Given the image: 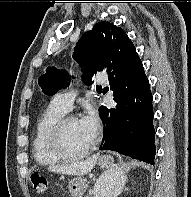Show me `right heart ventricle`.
Returning <instances> with one entry per match:
<instances>
[{"label":"right heart ventricle","instance_id":"1","mask_svg":"<svg viewBox=\"0 0 191 197\" xmlns=\"http://www.w3.org/2000/svg\"><path fill=\"white\" fill-rule=\"evenodd\" d=\"M65 113L66 112L51 102L37 120L32 141L33 157L37 164L41 166H51L62 161V159L55 155L50 149L48 134L55 122L64 116Z\"/></svg>","mask_w":191,"mask_h":197}]
</instances>
